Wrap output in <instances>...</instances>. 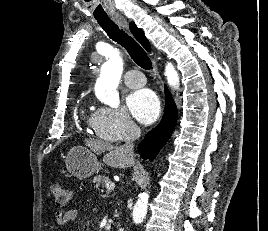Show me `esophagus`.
Here are the masks:
<instances>
[{"instance_id": "1", "label": "esophagus", "mask_w": 268, "mask_h": 231, "mask_svg": "<svg viewBox=\"0 0 268 231\" xmlns=\"http://www.w3.org/2000/svg\"><path fill=\"white\" fill-rule=\"evenodd\" d=\"M112 19L119 26H121L122 28H127L128 27L127 20L122 15L115 14V15L112 16ZM153 70H154V73L156 74V76L158 77L159 82L161 84V88H162L163 87V82H162L161 76L159 74V71H158V68H157L155 60H153Z\"/></svg>"}]
</instances>
